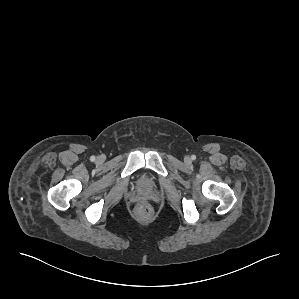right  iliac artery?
Wrapping results in <instances>:
<instances>
[{"mask_svg": "<svg viewBox=\"0 0 299 299\" xmlns=\"http://www.w3.org/2000/svg\"><path fill=\"white\" fill-rule=\"evenodd\" d=\"M90 159H91V161H94V160H95V157H94V156H92Z\"/></svg>", "mask_w": 299, "mask_h": 299, "instance_id": "obj_1", "label": "right iliac artery"}]
</instances>
